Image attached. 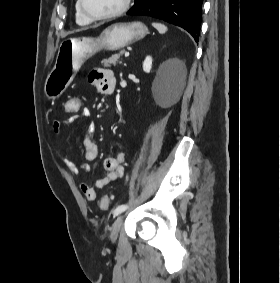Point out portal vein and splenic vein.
<instances>
[{
    "label": "portal vein and splenic vein",
    "instance_id": "1",
    "mask_svg": "<svg viewBox=\"0 0 280 283\" xmlns=\"http://www.w3.org/2000/svg\"><path fill=\"white\" fill-rule=\"evenodd\" d=\"M124 56H125V57H128V56H129V52L126 51V52L124 53Z\"/></svg>",
    "mask_w": 280,
    "mask_h": 283
}]
</instances>
